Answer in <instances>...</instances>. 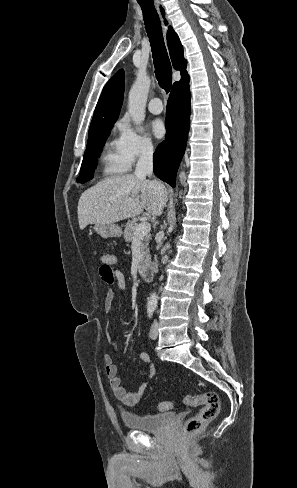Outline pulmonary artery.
<instances>
[{"mask_svg":"<svg viewBox=\"0 0 297 488\" xmlns=\"http://www.w3.org/2000/svg\"><path fill=\"white\" fill-rule=\"evenodd\" d=\"M148 110L152 114H160L163 111V105L159 98H152L148 103Z\"/></svg>","mask_w":297,"mask_h":488,"instance_id":"obj_1","label":"pulmonary artery"}]
</instances>
